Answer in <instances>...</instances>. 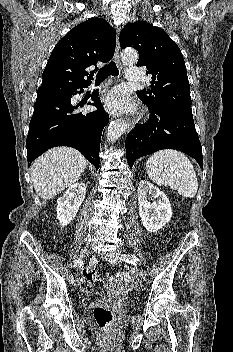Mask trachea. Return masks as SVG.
Returning a JSON list of instances; mask_svg holds the SVG:
<instances>
[{
	"label": "trachea",
	"instance_id": "1",
	"mask_svg": "<svg viewBox=\"0 0 233 352\" xmlns=\"http://www.w3.org/2000/svg\"><path fill=\"white\" fill-rule=\"evenodd\" d=\"M119 71L114 61L108 63L105 67L101 68L96 76V82L103 81L109 75L118 76Z\"/></svg>",
	"mask_w": 233,
	"mask_h": 352
}]
</instances>
